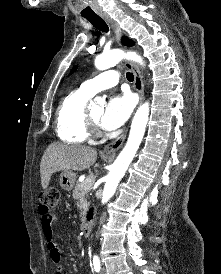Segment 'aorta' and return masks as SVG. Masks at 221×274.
Segmentation results:
<instances>
[{
  "mask_svg": "<svg viewBox=\"0 0 221 274\" xmlns=\"http://www.w3.org/2000/svg\"><path fill=\"white\" fill-rule=\"evenodd\" d=\"M127 58L143 65V59L135 52L124 53L122 50L115 49L108 53H103L96 57L95 66L99 70H106L114 67L122 59ZM94 101L101 102L100 98H95ZM149 118V103L142 104L136 111L132 120L130 134L127 143L119 156L113 163L109 174L106 177V182L103 190L101 202L106 203L115 193L119 181L124 176L127 168L133 160L145 133V128Z\"/></svg>",
  "mask_w": 221,
  "mask_h": 274,
  "instance_id": "762f6f07",
  "label": "aorta"
}]
</instances>
